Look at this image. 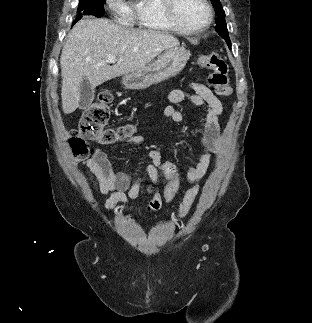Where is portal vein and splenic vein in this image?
Masks as SVG:
<instances>
[{"mask_svg":"<svg viewBox=\"0 0 312 323\" xmlns=\"http://www.w3.org/2000/svg\"><path fill=\"white\" fill-rule=\"evenodd\" d=\"M107 62L108 64H114L116 62V56H108Z\"/></svg>","mask_w":312,"mask_h":323,"instance_id":"portal-vein-and-splenic-vein-1","label":"portal vein and splenic vein"}]
</instances>
